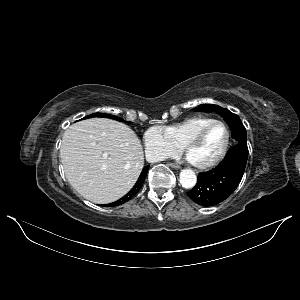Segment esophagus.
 <instances>
[{
    "mask_svg": "<svg viewBox=\"0 0 300 300\" xmlns=\"http://www.w3.org/2000/svg\"><path fill=\"white\" fill-rule=\"evenodd\" d=\"M169 166H171L172 168H175V169H179L180 168V165H178L176 163H169Z\"/></svg>",
    "mask_w": 300,
    "mask_h": 300,
    "instance_id": "obj_1",
    "label": "esophagus"
}]
</instances>
